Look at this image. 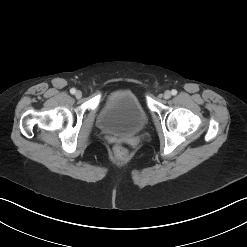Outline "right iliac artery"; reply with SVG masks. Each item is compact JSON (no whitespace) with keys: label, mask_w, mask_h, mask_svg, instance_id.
Instances as JSON below:
<instances>
[{"label":"right iliac artery","mask_w":247,"mask_h":247,"mask_svg":"<svg viewBox=\"0 0 247 247\" xmlns=\"http://www.w3.org/2000/svg\"><path fill=\"white\" fill-rule=\"evenodd\" d=\"M75 92H76V89L75 88L70 89V93L71 94H74Z\"/></svg>","instance_id":"right-iliac-artery-1"}]
</instances>
